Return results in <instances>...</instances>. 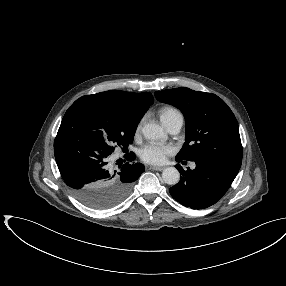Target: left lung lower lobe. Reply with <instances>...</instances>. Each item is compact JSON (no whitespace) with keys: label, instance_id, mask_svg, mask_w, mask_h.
<instances>
[{"label":"left lung lower lobe","instance_id":"obj_1","mask_svg":"<svg viewBox=\"0 0 286 286\" xmlns=\"http://www.w3.org/2000/svg\"><path fill=\"white\" fill-rule=\"evenodd\" d=\"M179 162L181 159L176 158ZM196 168L186 171L179 165L181 179L169 189L172 197L186 207L203 209L215 204L231 186L240 167L213 159L195 161Z\"/></svg>","mask_w":286,"mask_h":286}]
</instances>
